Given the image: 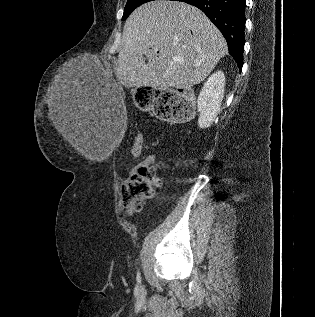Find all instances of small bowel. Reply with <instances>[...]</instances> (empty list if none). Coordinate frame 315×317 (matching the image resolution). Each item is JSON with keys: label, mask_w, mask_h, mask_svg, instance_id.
<instances>
[{"label": "small bowel", "mask_w": 315, "mask_h": 317, "mask_svg": "<svg viewBox=\"0 0 315 317\" xmlns=\"http://www.w3.org/2000/svg\"><path fill=\"white\" fill-rule=\"evenodd\" d=\"M157 161L156 154H149L147 157H145L141 162L133 166L130 171L128 172V176L132 173H134L138 168L143 166H150L154 164Z\"/></svg>", "instance_id": "obj_1"}]
</instances>
